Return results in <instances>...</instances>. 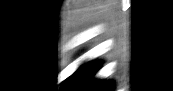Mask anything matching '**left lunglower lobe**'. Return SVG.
I'll return each instance as SVG.
<instances>
[{
    "instance_id": "obj_1",
    "label": "left lung lower lobe",
    "mask_w": 173,
    "mask_h": 91,
    "mask_svg": "<svg viewBox=\"0 0 173 91\" xmlns=\"http://www.w3.org/2000/svg\"><path fill=\"white\" fill-rule=\"evenodd\" d=\"M100 63H88L82 65L73 75L65 80L64 89L67 91H111L112 82L90 81L97 72Z\"/></svg>"
}]
</instances>
